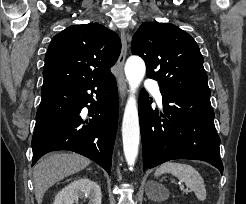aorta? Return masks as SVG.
Instances as JSON below:
<instances>
[{
    "mask_svg": "<svg viewBox=\"0 0 246 204\" xmlns=\"http://www.w3.org/2000/svg\"><path fill=\"white\" fill-rule=\"evenodd\" d=\"M125 75L129 84L130 96L125 107L122 122L123 151L130 169L135 164L140 142L138 108L135 93L142 82L146 66L139 56H130L125 64Z\"/></svg>",
    "mask_w": 246,
    "mask_h": 204,
    "instance_id": "obj_1",
    "label": "aorta"
}]
</instances>
